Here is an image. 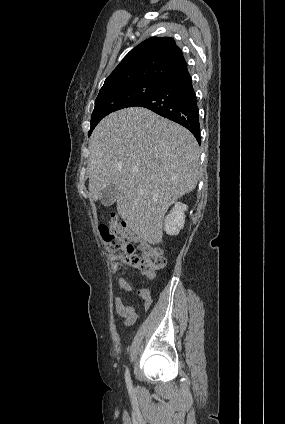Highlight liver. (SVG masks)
Masks as SVG:
<instances>
[{"label": "liver", "mask_w": 285, "mask_h": 424, "mask_svg": "<svg viewBox=\"0 0 285 424\" xmlns=\"http://www.w3.org/2000/svg\"><path fill=\"white\" fill-rule=\"evenodd\" d=\"M89 151L93 199L116 184L120 217L144 241L161 243L168 208L198 183L200 154L193 134L153 111L130 107L109 114L96 126Z\"/></svg>", "instance_id": "1"}]
</instances>
